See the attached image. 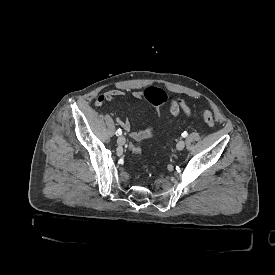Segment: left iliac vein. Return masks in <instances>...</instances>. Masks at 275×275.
<instances>
[{
  "label": "left iliac vein",
  "instance_id": "4c4485c4",
  "mask_svg": "<svg viewBox=\"0 0 275 275\" xmlns=\"http://www.w3.org/2000/svg\"><path fill=\"white\" fill-rule=\"evenodd\" d=\"M176 147H177V149H178L179 151L183 150L184 147H185V141L180 140V141L177 143Z\"/></svg>",
  "mask_w": 275,
  "mask_h": 275
}]
</instances>
